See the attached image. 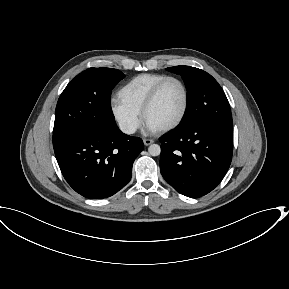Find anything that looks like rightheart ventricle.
<instances>
[{"instance_id":"e07e8e85","label":"right heart ventricle","mask_w":289,"mask_h":289,"mask_svg":"<svg viewBox=\"0 0 289 289\" xmlns=\"http://www.w3.org/2000/svg\"><path fill=\"white\" fill-rule=\"evenodd\" d=\"M165 77L167 75L158 73H143L133 77L118 90V101L140 114L151 89Z\"/></svg>"}]
</instances>
